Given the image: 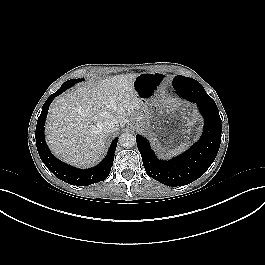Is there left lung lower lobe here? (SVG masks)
Instances as JSON below:
<instances>
[{
  "label": "left lung lower lobe",
  "instance_id": "0a47b994",
  "mask_svg": "<svg viewBox=\"0 0 265 265\" xmlns=\"http://www.w3.org/2000/svg\"><path fill=\"white\" fill-rule=\"evenodd\" d=\"M173 87L180 97L198 105L205 122L200 140L169 161L159 160L146 138L137 135L136 141L148 176L162 184L176 187L198 179L215 160L221 143V118L214 100L196 80H173Z\"/></svg>",
  "mask_w": 265,
  "mask_h": 265
}]
</instances>
